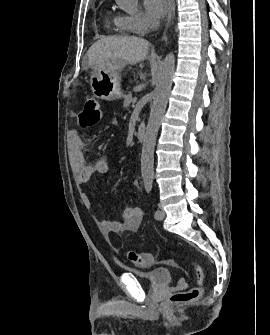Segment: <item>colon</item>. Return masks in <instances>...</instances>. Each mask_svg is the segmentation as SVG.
Returning a JSON list of instances; mask_svg holds the SVG:
<instances>
[{"label":"colon","instance_id":"1","mask_svg":"<svg viewBox=\"0 0 270 335\" xmlns=\"http://www.w3.org/2000/svg\"><path fill=\"white\" fill-rule=\"evenodd\" d=\"M102 114L103 108L100 102L95 97H88L79 115L82 128L88 129L96 125L100 121ZM125 256L130 263L136 266H148L152 261L150 253H136L132 250H126ZM191 264L194 268L195 285L186 291L173 294L170 298L173 304L181 305L196 300L202 293L203 272L195 260H191Z\"/></svg>","mask_w":270,"mask_h":335}]
</instances>
